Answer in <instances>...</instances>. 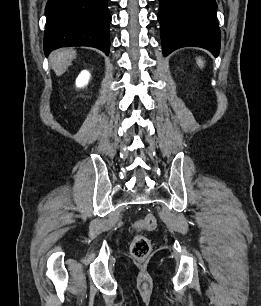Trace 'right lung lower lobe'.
<instances>
[{
    "label": "right lung lower lobe",
    "instance_id": "obj_1",
    "mask_svg": "<svg viewBox=\"0 0 261 306\" xmlns=\"http://www.w3.org/2000/svg\"><path fill=\"white\" fill-rule=\"evenodd\" d=\"M108 0H48L44 52L62 46H90L109 53Z\"/></svg>",
    "mask_w": 261,
    "mask_h": 306
}]
</instances>
